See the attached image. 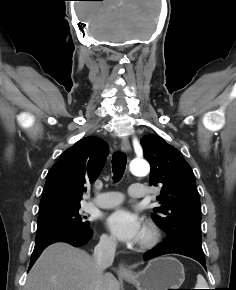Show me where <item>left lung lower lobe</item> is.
I'll list each match as a JSON object with an SVG mask.
<instances>
[{
	"label": "left lung lower lobe",
	"mask_w": 236,
	"mask_h": 290,
	"mask_svg": "<svg viewBox=\"0 0 236 290\" xmlns=\"http://www.w3.org/2000/svg\"><path fill=\"white\" fill-rule=\"evenodd\" d=\"M169 253H176V254H181V255L191 257L197 260L198 262H200L203 265V267L206 269L205 255L203 251L185 243H179L173 246H170L166 243H161L157 247H155L153 250L148 251L144 255V260H149L154 257L164 255V254H169Z\"/></svg>",
	"instance_id": "obj_1"
}]
</instances>
